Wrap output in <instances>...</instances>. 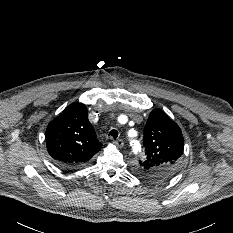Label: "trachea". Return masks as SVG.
<instances>
[{"label": "trachea", "mask_w": 233, "mask_h": 233, "mask_svg": "<svg viewBox=\"0 0 233 233\" xmlns=\"http://www.w3.org/2000/svg\"><path fill=\"white\" fill-rule=\"evenodd\" d=\"M109 136L113 137L114 139H116L118 137V131L113 129L109 132Z\"/></svg>", "instance_id": "3493384b"}]
</instances>
